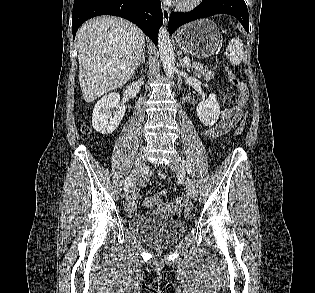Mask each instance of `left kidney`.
<instances>
[{"mask_svg": "<svg viewBox=\"0 0 315 293\" xmlns=\"http://www.w3.org/2000/svg\"><path fill=\"white\" fill-rule=\"evenodd\" d=\"M199 120L206 126H213L220 115V106L215 94H210L207 100L201 101L196 108Z\"/></svg>", "mask_w": 315, "mask_h": 293, "instance_id": "1", "label": "left kidney"}]
</instances>
